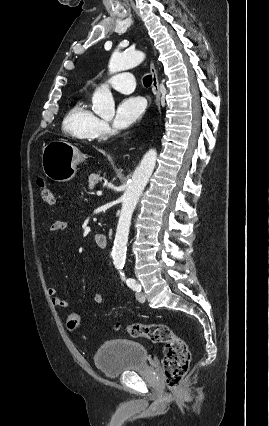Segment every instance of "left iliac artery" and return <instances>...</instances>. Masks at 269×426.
<instances>
[{"instance_id": "1", "label": "left iliac artery", "mask_w": 269, "mask_h": 426, "mask_svg": "<svg viewBox=\"0 0 269 426\" xmlns=\"http://www.w3.org/2000/svg\"><path fill=\"white\" fill-rule=\"evenodd\" d=\"M127 285L135 291H141V286H139L134 279H128Z\"/></svg>"}]
</instances>
